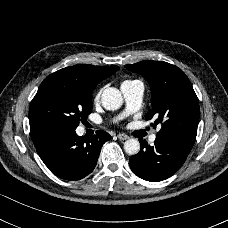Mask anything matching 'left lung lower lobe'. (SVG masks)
<instances>
[{
    "instance_id": "0a47b994",
    "label": "left lung lower lobe",
    "mask_w": 228,
    "mask_h": 228,
    "mask_svg": "<svg viewBox=\"0 0 228 228\" xmlns=\"http://www.w3.org/2000/svg\"><path fill=\"white\" fill-rule=\"evenodd\" d=\"M141 150L129 159L132 171L140 178L158 182L176 173L194 144L174 138L156 136L154 146L139 140Z\"/></svg>"
}]
</instances>
